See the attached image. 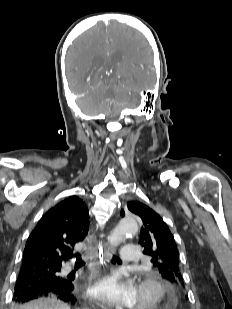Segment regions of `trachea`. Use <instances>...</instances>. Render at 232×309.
<instances>
[{"label":"trachea","mask_w":232,"mask_h":309,"mask_svg":"<svg viewBox=\"0 0 232 309\" xmlns=\"http://www.w3.org/2000/svg\"><path fill=\"white\" fill-rule=\"evenodd\" d=\"M75 257H76V264H83L84 263V261L81 258V254H79V253L75 254ZM112 260L118 261V262L121 261V259L117 256H113Z\"/></svg>","instance_id":"3493384b"}]
</instances>
